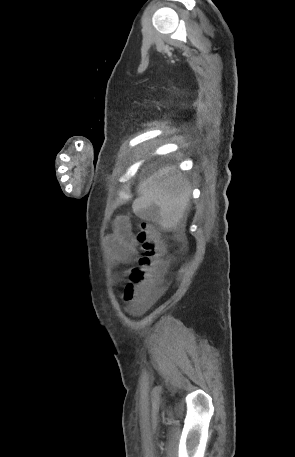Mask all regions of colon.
<instances>
[{
	"label": "colon",
	"instance_id": "1",
	"mask_svg": "<svg viewBox=\"0 0 295 457\" xmlns=\"http://www.w3.org/2000/svg\"><path fill=\"white\" fill-rule=\"evenodd\" d=\"M136 237L141 244L142 254L137 266L129 271V281L123 293L124 301L131 304L135 310L147 300L152 286L161 275L165 265V244L153 224L142 221Z\"/></svg>",
	"mask_w": 295,
	"mask_h": 457
}]
</instances>
